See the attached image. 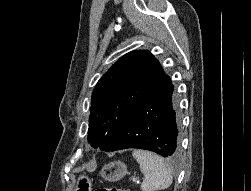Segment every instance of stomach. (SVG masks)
Segmentation results:
<instances>
[{
  "mask_svg": "<svg viewBox=\"0 0 251 191\" xmlns=\"http://www.w3.org/2000/svg\"><path fill=\"white\" fill-rule=\"evenodd\" d=\"M126 173H128V169L126 163H123V161H110V163H105L100 171V175H102L104 179H108V181H118V179H122ZM91 189V179H89L87 175H79L76 191H91Z\"/></svg>",
  "mask_w": 251,
  "mask_h": 191,
  "instance_id": "stomach-1",
  "label": "stomach"
}]
</instances>
